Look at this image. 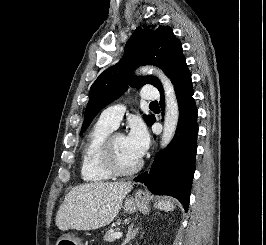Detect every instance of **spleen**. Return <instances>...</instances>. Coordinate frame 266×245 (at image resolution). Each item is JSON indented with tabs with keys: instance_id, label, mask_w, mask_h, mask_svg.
Returning <instances> with one entry per match:
<instances>
[{
	"instance_id": "spleen-1",
	"label": "spleen",
	"mask_w": 266,
	"mask_h": 245,
	"mask_svg": "<svg viewBox=\"0 0 266 245\" xmlns=\"http://www.w3.org/2000/svg\"><path fill=\"white\" fill-rule=\"evenodd\" d=\"M156 209H160V211H166V213H168V211H173L175 207L168 199V201H158Z\"/></svg>"
}]
</instances>
